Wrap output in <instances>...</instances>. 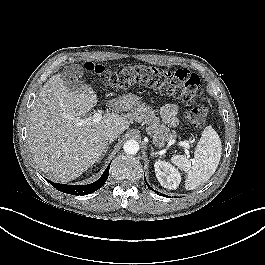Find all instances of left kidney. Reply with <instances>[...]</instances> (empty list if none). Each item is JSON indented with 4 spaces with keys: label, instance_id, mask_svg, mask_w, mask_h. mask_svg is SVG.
Segmentation results:
<instances>
[{
    "label": "left kidney",
    "instance_id": "left-kidney-1",
    "mask_svg": "<svg viewBox=\"0 0 265 265\" xmlns=\"http://www.w3.org/2000/svg\"><path fill=\"white\" fill-rule=\"evenodd\" d=\"M155 173L161 186L167 189H176L181 182V175L176 168L165 161H156Z\"/></svg>",
    "mask_w": 265,
    "mask_h": 265
}]
</instances>
